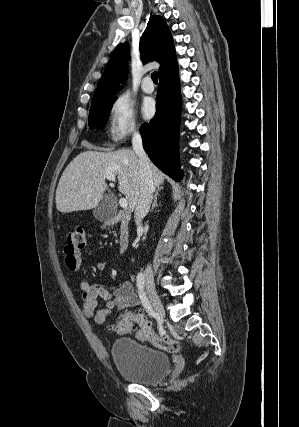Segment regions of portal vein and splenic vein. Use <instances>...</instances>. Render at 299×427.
Masks as SVG:
<instances>
[{"label": "portal vein and splenic vein", "instance_id": "obj_1", "mask_svg": "<svg viewBox=\"0 0 299 427\" xmlns=\"http://www.w3.org/2000/svg\"><path fill=\"white\" fill-rule=\"evenodd\" d=\"M105 176H106L107 180L115 182V176L112 173H106ZM111 185L114 186V184H111ZM119 205L121 208H127L128 202L125 198H120Z\"/></svg>", "mask_w": 299, "mask_h": 427}]
</instances>
